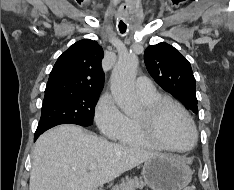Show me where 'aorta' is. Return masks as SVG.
Returning a JSON list of instances; mask_svg holds the SVG:
<instances>
[{"mask_svg":"<svg viewBox=\"0 0 234 190\" xmlns=\"http://www.w3.org/2000/svg\"><path fill=\"white\" fill-rule=\"evenodd\" d=\"M137 67V57L128 53L119 57L111 75V93L117 105L126 114H132L137 107L134 91Z\"/></svg>","mask_w":234,"mask_h":190,"instance_id":"obj_1","label":"aorta"}]
</instances>
